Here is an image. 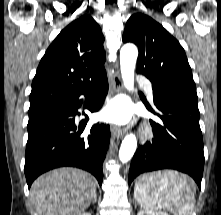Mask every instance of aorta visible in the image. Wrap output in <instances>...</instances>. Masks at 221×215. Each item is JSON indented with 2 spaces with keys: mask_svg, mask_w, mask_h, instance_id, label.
<instances>
[{
  "mask_svg": "<svg viewBox=\"0 0 221 215\" xmlns=\"http://www.w3.org/2000/svg\"><path fill=\"white\" fill-rule=\"evenodd\" d=\"M138 57V49L134 44H125L120 51V69L124 86L128 91L134 90V71ZM137 139L134 134H128L122 141L119 150V159L122 163L128 162L134 155Z\"/></svg>",
  "mask_w": 221,
  "mask_h": 215,
  "instance_id": "obj_1",
  "label": "aorta"
}]
</instances>
